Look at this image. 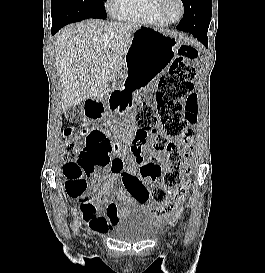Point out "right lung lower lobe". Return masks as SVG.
Masks as SVG:
<instances>
[{
    "instance_id": "98d812e1",
    "label": "right lung lower lobe",
    "mask_w": 265,
    "mask_h": 273,
    "mask_svg": "<svg viewBox=\"0 0 265 273\" xmlns=\"http://www.w3.org/2000/svg\"><path fill=\"white\" fill-rule=\"evenodd\" d=\"M59 29H61V28H54V27H52V34H55Z\"/></svg>"
}]
</instances>
